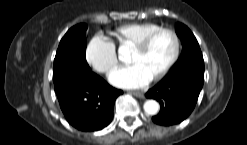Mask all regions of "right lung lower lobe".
Wrapping results in <instances>:
<instances>
[{
    "label": "right lung lower lobe",
    "mask_w": 247,
    "mask_h": 145,
    "mask_svg": "<svg viewBox=\"0 0 247 145\" xmlns=\"http://www.w3.org/2000/svg\"><path fill=\"white\" fill-rule=\"evenodd\" d=\"M53 81L61 110L73 127L96 131L111 122L114 102L123 92L90 68H69L53 76Z\"/></svg>",
    "instance_id": "1"
}]
</instances>
